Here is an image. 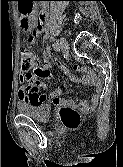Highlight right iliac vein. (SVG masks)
I'll list each match as a JSON object with an SVG mask.
<instances>
[{"label": "right iliac vein", "mask_w": 123, "mask_h": 167, "mask_svg": "<svg viewBox=\"0 0 123 167\" xmlns=\"http://www.w3.org/2000/svg\"><path fill=\"white\" fill-rule=\"evenodd\" d=\"M59 43H60L61 48H63V49L68 48V43H67L65 38L61 37L60 40H59Z\"/></svg>", "instance_id": "1"}]
</instances>
